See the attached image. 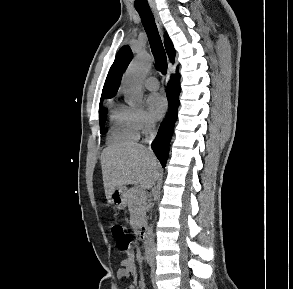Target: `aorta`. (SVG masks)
Masks as SVG:
<instances>
[{
  "instance_id": "aorta-1",
  "label": "aorta",
  "mask_w": 293,
  "mask_h": 289,
  "mask_svg": "<svg viewBox=\"0 0 293 289\" xmlns=\"http://www.w3.org/2000/svg\"><path fill=\"white\" fill-rule=\"evenodd\" d=\"M152 62L148 55L141 54L127 68L123 79L122 86L127 95V102L130 105L139 104L143 98L142 79L151 68ZM155 252V242L153 225L147 228L145 236V253L153 257Z\"/></svg>"
}]
</instances>
